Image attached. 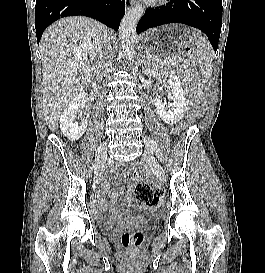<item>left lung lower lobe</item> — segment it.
Segmentation results:
<instances>
[{
    "label": "left lung lower lobe",
    "mask_w": 265,
    "mask_h": 273,
    "mask_svg": "<svg viewBox=\"0 0 265 273\" xmlns=\"http://www.w3.org/2000/svg\"><path fill=\"white\" fill-rule=\"evenodd\" d=\"M167 23H183L200 29L216 51L222 26V0H170L166 7L147 9L136 31L139 34Z\"/></svg>",
    "instance_id": "left-lung-lower-lobe-1"
}]
</instances>
